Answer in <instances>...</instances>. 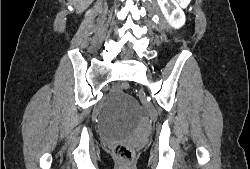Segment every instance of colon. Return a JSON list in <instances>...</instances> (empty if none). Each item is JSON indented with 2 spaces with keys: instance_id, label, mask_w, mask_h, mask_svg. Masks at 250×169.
I'll return each mask as SVG.
<instances>
[{
  "instance_id": "1",
  "label": "colon",
  "mask_w": 250,
  "mask_h": 169,
  "mask_svg": "<svg viewBox=\"0 0 250 169\" xmlns=\"http://www.w3.org/2000/svg\"><path fill=\"white\" fill-rule=\"evenodd\" d=\"M121 90H128V85H121ZM112 150H114L118 169H136V151L134 145L129 142L113 141Z\"/></svg>"
}]
</instances>
